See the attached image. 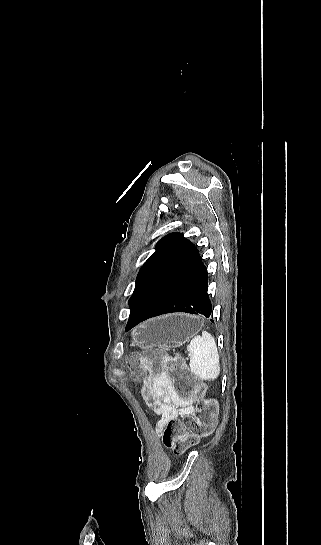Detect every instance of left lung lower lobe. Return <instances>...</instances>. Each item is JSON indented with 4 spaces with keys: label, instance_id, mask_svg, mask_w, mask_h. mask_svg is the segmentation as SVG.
<instances>
[{
    "label": "left lung lower lobe",
    "instance_id": "1",
    "mask_svg": "<svg viewBox=\"0 0 321 545\" xmlns=\"http://www.w3.org/2000/svg\"><path fill=\"white\" fill-rule=\"evenodd\" d=\"M208 273L195 245L180 234L170 254L131 307L126 330L165 313L186 312L209 317Z\"/></svg>",
    "mask_w": 321,
    "mask_h": 545
}]
</instances>
